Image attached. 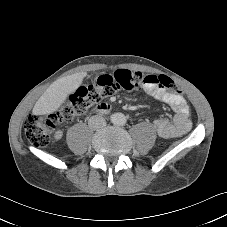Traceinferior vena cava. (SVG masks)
<instances>
[{
    "label": "inferior vena cava",
    "mask_w": 227,
    "mask_h": 227,
    "mask_svg": "<svg viewBox=\"0 0 227 227\" xmlns=\"http://www.w3.org/2000/svg\"><path fill=\"white\" fill-rule=\"evenodd\" d=\"M88 124L91 129L97 130L106 126V120L100 115H95L89 119Z\"/></svg>",
    "instance_id": "inferior-vena-cava-1"
}]
</instances>
